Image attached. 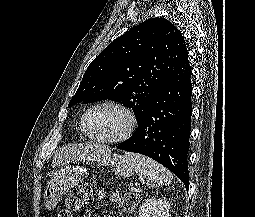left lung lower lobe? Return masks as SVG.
Here are the masks:
<instances>
[{
  "label": "left lung lower lobe",
  "mask_w": 255,
  "mask_h": 217,
  "mask_svg": "<svg viewBox=\"0 0 255 217\" xmlns=\"http://www.w3.org/2000/svg\"><path fill=\"white\" fill-rule=\"evenodd\" d=\"M188 57L160 87L135 133L118 149L159 162L189 186L187 153L192 115Z\"/></svg>",
  "instance_id": "1"
}]
</instances>
